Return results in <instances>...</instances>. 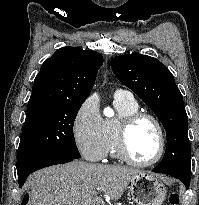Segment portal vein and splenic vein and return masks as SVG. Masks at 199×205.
I'll list each match as a JSON object with an SVG mask.
<instances>
[{"label": "portal vein and splenic vein", "instance_id": "portal-vein-and-splenic-vein-1", "mask_svg": "<svg viewBox=\"0 0 199 205\" xmlns=\"http://www.w3.org/2000/svg\"><path fill=\"white\" fill-rule=\"evenodd\" d=\"M93 195L96 196V195H97V192H94Z\"/></svg>", "mask_w": 199, "mask_h": 205}]
</instances>
